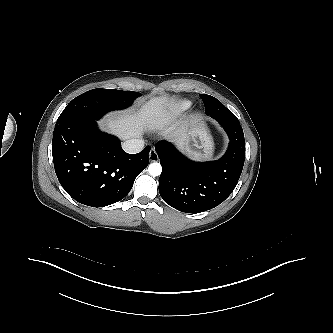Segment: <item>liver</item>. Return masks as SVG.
<instances>
[{
    "mask_svg": "<svg viewBox=\"0 0 333 333\" xmlns=\"http://www.w3.org/2000/svg\"><path fill=\"white\" fill-rule=\"evenodd\" d=\"M172 101L164 96L152 97L140 110L110 115L104 122L106 129L121 139L140 137L145 130H158L180 146L186 139L185 130L171 123Z\"/></svg>",
    "mask_w": 333,
    "mask_h": 333,
    "instance_id": "1",
    "label": "liver"
}]
</instances>
